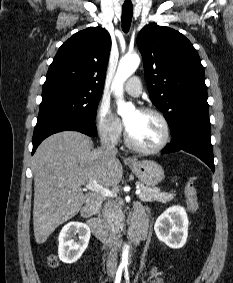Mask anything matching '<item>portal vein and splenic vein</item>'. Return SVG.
I'll return each instance as SVG.
<instances>
[{
  "label": "portal vein and splenic vein",
  "mask_w": 233,
  "mask_h": 283,
  "mask_svg": "<svg viewBox=\"0 0 233 283\" xmlns=\"http://www.w3.org/2000/svg\"><path fill=\"white\" fill-rule=\"evenodd\" d=\"M86 188L95 192H98L102 194L103 196L107 197H115L116 194L112 192L111 190L99 185L95 180L90 181L88 184H86ZM141 193V190L139 188L136 189L135 194L139 195Z\"/></svg>",
  "instance_id": "18ae733b"
}]
</instances>
